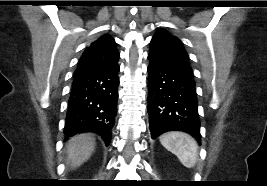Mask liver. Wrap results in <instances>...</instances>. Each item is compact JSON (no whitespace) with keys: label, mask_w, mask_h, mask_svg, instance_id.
I'll return each instance as SVG.
<instances>
[{"label":"liver","mask_w":267,"mask_h":186,"mask_svg":"<svg viewBox=\"0 0 267 186\" xmlns=\"http://www.w3.org/2000/svg\"><path fill=\"white\" fill-rule=\"evenodd\" d=\"M95 144V138L89 133L72 137L66 145L67 164H70L72 168L81 166L90 158L95 149Z\"/></svg>","instance_id":"1"}]
</instances>
